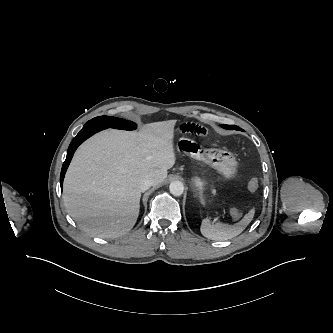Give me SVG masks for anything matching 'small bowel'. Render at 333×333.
<instances>
[{
	"mask_svg": "<svg viewBox=\"0 0 333 333\" xmlns=\"http://www.w3.org/2000/svg\"><path fill=\"white\" fill-rule=\"evenodd\" d=\"M179 130L182 133L196 134L198 136H205L208 133L207 129L204 126L191 121H186L179 124Z\"/></svg>",
	"mask_w": 333,
	"mask_h": 333,
	"instance_id": "1",
	"label": "small bowel"
}]
</instances>
